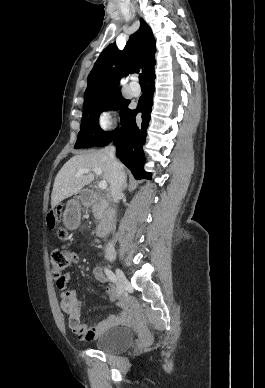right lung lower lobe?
Returning <instances> with one entry per match:
<instances>
[{
    "label": "right lung lower lobe",
    "instance_id": "98d812e1",
    "mask_svg": "<svg viewBox=\"0 0 265 388\" xmlns=\"http://www.w3.org/2000/svg\"><path fill=\"white\" fill-rule=\"evenodd\" d=\"M155 74L148 79V90L143 94L135 110H130L113 142L116 145L117 157L131 170L136 179H150L151 173L143 169L145 161L142 146L145 143L147 127L150 120ZM142 113V123L136 124L135 116Z\"/></svg>",
    "mask_w": 265,
    "mask_h": 388
}]
</instances>
